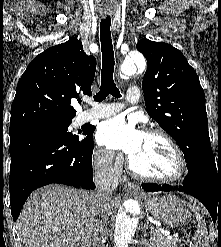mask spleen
Returning <instances> with one entry per match:
<instances>
[{
	"instance_id": "1",
	"label": "spleen",
	"mask_w": 221,
	"mask_h": 247,
	"mask_svg": "<svg viewBox=\"0 0 221 247\" xmlns=\"http://www.w3.org/2000/svg\"><path fill=\"white\" fill-rule=\"evenodd\" d=\"M196 219L198 221L197 232L194 236V247H210L208 241V233L206 224L202 221V217L196 213Z\"/></svg>"
}]
</instances>
